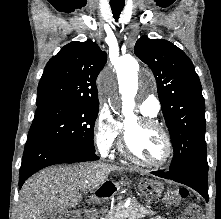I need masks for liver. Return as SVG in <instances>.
<instances>
[{
  "label": "liver",
  "instance_id": "6515ba94",
  "mask_svg": "<svg viewBox=\"0 0 221 219\" xmlns=\"http://www.w3.org/2000/svg\"><path fill=\"white\" fill-rule=\"evenodd\" d=\"M121 168L102 162L58 166L41 170L20 190L19 219H42L47 211H65L77 206L82 192L99 188L108 175Z\"/></svg>",
  "mask_w": 221,
  "mask_h": 219
}]
</instances>
